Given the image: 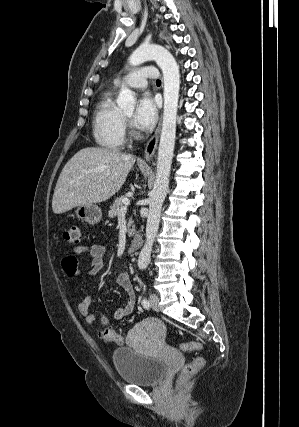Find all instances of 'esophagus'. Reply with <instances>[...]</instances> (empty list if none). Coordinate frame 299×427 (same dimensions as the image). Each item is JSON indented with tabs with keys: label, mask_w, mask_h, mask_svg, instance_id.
Here are the masks:
<instances>
[{
	"label": "esophagus",
	"mask_w": 299,
	"mask_h": 427,
	"mask_svg": "<svg viewBox=\"0 0 299 427\" xmlns=\"http://www.w3.org/2000/svg\"><path fill=\"white\" fill-rule=\"evenodd\" d=\"M160 131H161V120L159 121V124L157 126L155 133L153 134V136L149 139V141L146 144L145 154H144V160L146 162H148L152 159V157L156 151L158 141H159Z\"/></svg>",
	"instance_id": "esophagus-1"
}]
</instances>
